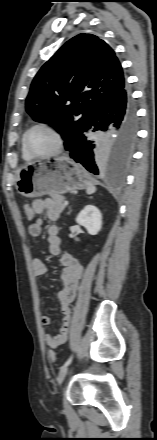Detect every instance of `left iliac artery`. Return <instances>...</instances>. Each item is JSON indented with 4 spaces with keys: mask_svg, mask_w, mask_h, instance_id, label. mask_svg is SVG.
I'll list each match as a JSON object with an SVG mask.
<instances>
[{
    "mask_svg": "<svg viewBox=\"0 0 157 440\" xmlns=\"http://www.w3.org/2000/svg\"><path fill=\"white\" fill-rule=\"evenodd\" d=\"M73 356H70L69 359L64 363L62 367H67L72 362Z\"/></svg>",
    "mask_w": 157,
    "mask_h": 440,
    "instance_id": "44dca946",
    "label": "left iliac artery"
}]
</instances>
